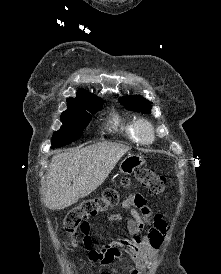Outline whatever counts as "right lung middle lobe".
<instances>
[{
    "instance_id": "dd1d6c3e",
    "label": "right lung middle lobe",
    "mask_w": 221,
    "mask_h": 274,
    "mask_svg": "<svg viewBox=\"0 0 221 274\" xmlns=\"http://www.w3.org/2000/svg\"><path fill=\"white\" fill-rule=\"evenodd\" d=\"M99 97L84 98L68 104V109L61 115V129L53 134L52 147H61L78 139L91 120V114L102 108Z\"/></svg>"
}]
</instances>
